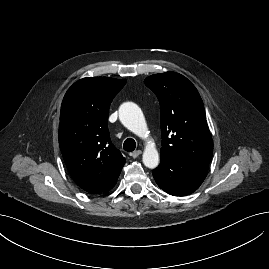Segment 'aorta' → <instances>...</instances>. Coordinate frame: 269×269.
<instances>
[{
	"instance_id": "762f6f07",
	"label": "aorta",
	"mask_w": 269,
	"mask_h": 269,
	"mask_svg": "<svg viewBox=\"0 0 269 269\" xmlns=\"http://www.w3.org/2000/svg\"><path fill=\"white\" fill-rule=\"evenodd\" d=\"M119 119L121 123L136 135L143 137L147 131V124L142 110L134 103H123L119 108ZM142 161L150 169L159 164V154L154 143L148 142L143 152Z\"/></svg>"
}]
</instances>
